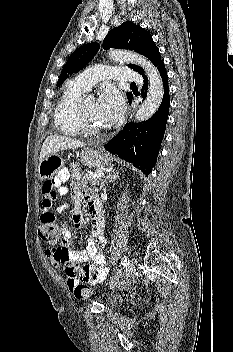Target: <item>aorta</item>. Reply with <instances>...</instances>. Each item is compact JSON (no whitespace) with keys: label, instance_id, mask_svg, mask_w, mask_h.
I'll return each mask as SVG.
<instances>
[{"label":"aorta","instance_id":"aorta-1","mask_svg":"<svg viewBox=\"0 0 233 352\" xmlns=\"http://www.w3.org/2000/svg\"><path fill=\"white\" fill-rule=\"evenodd\" d=\"M108 57L117 62L139 65L148 77L149 88L145 101L135 114L136 122L148 120L158 110L164 94L162 79L154 65L144 56L130 51L110 50Z\"/></svg>","mask_w":233,"mask_h":352}]
</instances>
